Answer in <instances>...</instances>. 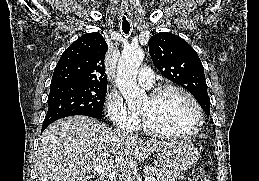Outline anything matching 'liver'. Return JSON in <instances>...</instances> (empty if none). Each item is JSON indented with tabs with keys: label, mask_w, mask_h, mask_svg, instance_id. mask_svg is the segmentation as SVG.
I'll list each match as a JSON object with an SVG mask.
<instances>
[{
	"label": "liver",
	"mask_w": 259,
	"mask_h": 181,
	"mask_svg": "<svg viewBox=\"0 0 259 181\" xmlns=\"http://www.w3.org/2000/svg\"><path fill=\"white\" fill-rule=\"evenodd\" d=\"M169 143L141 139L86 116L63 118L40 138L37 181H87L103 166L116 174L129 173Z\"/></svg>",
	"instance_id": "liver-1"
}]
</instances>
